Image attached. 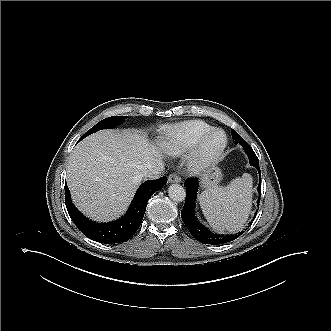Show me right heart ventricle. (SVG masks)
<instances>
[{"label": "right heart ventricle", "instance_id": "e07e8e85", "mask_svg": "<svg viewBox=\"0 0 331 331\" xmlns=\"http://www.w3.org/2000/svg\"><path fill=\"white\" fill-rule=\"evenodd\" d=\"M211 129L213 127L202 120H188L167 126L161 148L169 155H180L191 149Z\"/></svg>", "mask_w": 331, "mask_h": 331}]
</instances>
